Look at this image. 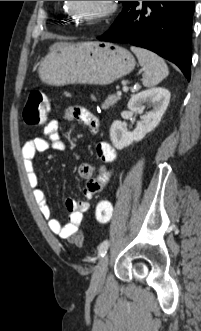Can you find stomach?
Instances as JSON below:
<instances>
[{
	"mask_svg": "<svg viewBox=\"0 0 201 331\" xmlns=\"http://www.w3.org/2000/svg\"><path fill=\"white\" fill-rule=\"evenodd\" d=\"M135 58L125 48L101 41L54 44L41 61L39 76L47 84L108 85L129 74Z\"/></svg>",
	"mask_w": 201,
	"mask_h": 331,
	"instance_id": "stomach-1",
	"label": "stomach"
}]
</instances>
